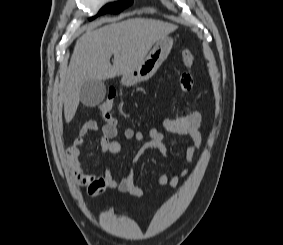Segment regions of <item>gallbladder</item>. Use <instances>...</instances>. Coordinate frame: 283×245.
Instances as JSON below:
<instances>
[{"instance_id":"gallbladder-1","label":"gallbladder","mask_w":283,"mask_h":245,"mask_svg":"<svg viewBox=\"0 0 283 245\" xmlns=\"http://www.w3.org/2000/svg\"><path fill=\"white\" fill-rule=\"evenodd\" d=\"M106 95V87L103 81L90 79L83 83L80 89V100L83 105L93 107L100 104Z\"/></svg>"}]
</instances>
